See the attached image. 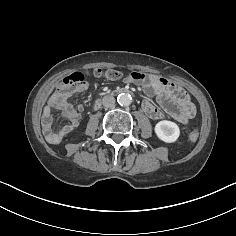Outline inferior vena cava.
<instances>
[{"mask_svg":"<svg viewBox=\"0 0 236 236\" xmlns=\"http://www.w3.org/2000/svg\"><path fill=\"white\" fill-rule=\"evenodd\" d=\"M102 104L107 108L113 107L115 105V98L110 95L104 96L102 99Z\"/></svg>","mask_w":236,"mask_h":236,"instance_id":"obj_1","label":"inferior vena cava"}]
</instances>
